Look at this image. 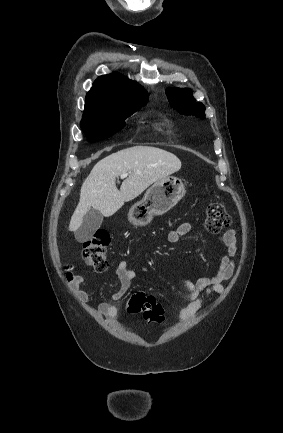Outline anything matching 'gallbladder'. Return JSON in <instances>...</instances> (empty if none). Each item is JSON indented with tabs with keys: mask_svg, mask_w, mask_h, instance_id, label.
I'll return each instance as SVG.
<instances>
[{
	"mask_svg": "<svg viewBox=\"0 0 283 433\" xmlns=\"http://www.w3.org/2000/svg\"><path fill=\"white\" fill-rule=\"evenodd\" d=\"M102 223V212L97 210V208H90V210L84 214L81 227H79L78 231H75V239H77L79 243H87Z\"/></svg>",
	"mask_w": 283,
	"mask_h": 433,
	"instance_id": "obj_1",
	"label": "gallbladder"
}]
</instances>
